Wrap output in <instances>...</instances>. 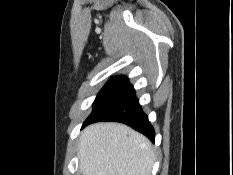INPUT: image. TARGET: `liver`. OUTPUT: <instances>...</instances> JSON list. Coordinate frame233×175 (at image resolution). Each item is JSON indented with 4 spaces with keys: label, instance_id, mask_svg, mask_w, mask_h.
Masks as SVG:
<instances>
[{
    "label": "liver",
    "instance_id": "liver-1",
    "mask_svg": "<svg viewBox=\"0 0 233 175\" xmlns=\"http://www.w3.org/2000/svg\"><path fill=\"white\" fill-rule=\"evenodd\" d=\"M78 156L83 175H150L154 164L151 142L114 122L86 127L79 138Z\"/></svg>",
    "mask_w": 233,
    "mask_h": 175
}]
</instances>
